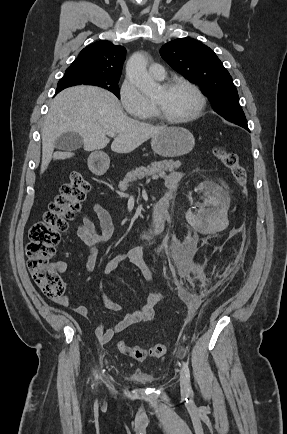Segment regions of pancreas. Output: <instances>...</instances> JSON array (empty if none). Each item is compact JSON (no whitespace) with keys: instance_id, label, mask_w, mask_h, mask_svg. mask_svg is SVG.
Here are the masks:
<instances>
[{"instance_id":"obj_1","label":"pancreas","mask_w":287,"mask_h":434,"mask_svg":"<svg viewBox=\"0 0 287 434\" xmlns=\"http://www.w3.org/2000/svg\"><path fill=\"white\" fill-rule=\"evenodd\" d=\"M181 166L179 161H158L152 162L147 167H139L135 170L128 172L124 179L119 183L118 188L124 192L130 186V183L141 180L145 177H150L153 180H157L159 177H165L166 172H174Z\"/></svg>"}]
</instances>
